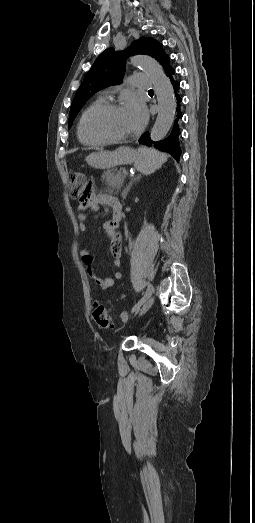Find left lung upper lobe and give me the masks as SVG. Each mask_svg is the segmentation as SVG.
<instances>
[{
	"mask_svg": "<svg viewBox=\"0 0 255 523\" xmlns=\"http://www.w3.org/2000/svg\"><path fill=\"white\" fill-rule=\"evenodd\" d=\"M135 54H146L155 58L163 66L168 77L175 72L169 65L170 58L163 51L162 44L153 38L141 37L131 47L122 52H116L113 48L105 50L86 74L75 94L70 108L68 127L72 125L78 112L92 95L110 85L121 82L125 70V59ZM141 137H144V134ZM170 154L173 156V153Z\"/></svg>",
	"mask_w": 255,
	"mask_h": 523,
	"instance_id": "5c2ea615",
	"label": "left lung upper lobe"
}]
</instances>
